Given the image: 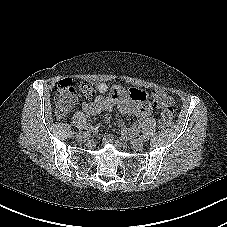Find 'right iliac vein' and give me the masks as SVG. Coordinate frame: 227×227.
Returning <instances> with one entry per match:
<instances>
[{
  "label": "right iliac vein",
  "mask_w": 227,
  "mask_h": 227,
  "mask_svg": "<svg viewBox=\"0 0 227 227\" xmlns=\"http://www.w3.org/2000/svg\"><path fill=\"white\" fill-rule=\"evenodd\" d=\"M89 136H90V131L87 130V131H81L77 133L76 138L79 140H82V139L88 138Z\"/></svg>",
  "instance_id": "right-iliac-vein-1"
}]
</instances>
